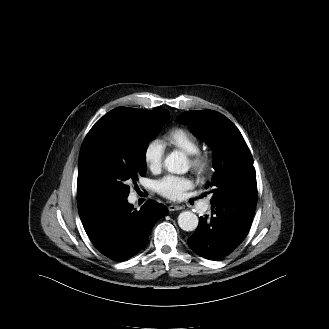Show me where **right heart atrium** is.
<instances>
[{"label":"right heart atrium","instance_id":"obj_1","mask_svg":"<svg viewBox=\"0 0 329 329\" xmlns=\"http://www.w3.org/2000/svg\"><path fill=\"white\" fill-rule=\"evenodd\" d=\"M165 146L158 138L149 140L143 151V160L148 169L151 171L158 170L163 163Z\"/></svg>","mask_w":329,"mask_h":329}]
</instances>
